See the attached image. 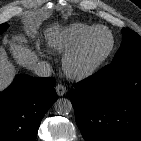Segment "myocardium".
Returning a JSON list of instances; mask_svg holds the SVG:
<instances>
[{"label":"myocardium","mask_w":141,"mask_h":141,"mask_svg":"<svg viewBox=\"0 0 141 141\" xmlns=\"http://www.w3.org/2000/svg\"><path fill=\"white\" fill-rule=\"evenodd\" d=\"M100 30L106 31L110 36V44L108 49L98 59L90 63H82L80 57L86 43L95 32ZM114 48L115 37L113 32L106 26L97 25L93 27L90 31H88L73 49L66 53L63 59V69L65 73L72 79L75 80L87 79L93 76L103 67V65L110 58Z\"/></svg>","instance_id":"myocardium-1"}]
</instances>
